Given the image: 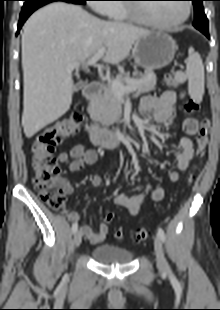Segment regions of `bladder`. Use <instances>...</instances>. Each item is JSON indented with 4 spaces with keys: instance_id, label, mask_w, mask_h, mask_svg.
<instances>
[{
    "instance_id": "1",
    "label": "bladder",
    "mask_w": 220,
    "mask_h": 310,
    "mask_svg": "<svg viewBox=\"0 0 220 310\" xmlns=\"http://www.w3.org/2000/svg\"><path fill=\"white\" fill-rule=\"evenodd\" d=\"M92 258L101 264H127L133 258V252L114 244H104L91 250Z\"/></svg>"
}]
</instances>
